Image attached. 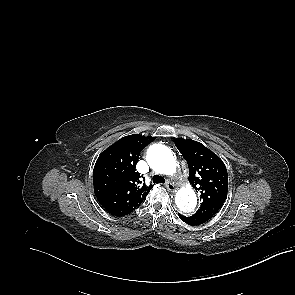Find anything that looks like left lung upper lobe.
<instances>
[{
    "label": "left lung upper lobe",
    "mask_w": 295,
    "mask_h": 295,
    "mask_svg": "<svg viewBox=\"0 0 295 295\" xmlns=\"http://www.w3.org/2000/svg\"><path fill=\"white\" fill-rule=\"evenodd\" d=\"M175 145L189 166V182L200 191L201 205L196 213L215 215L227 197L228 175L223 161L203 144L177 138Z\"/></svg>",
    "instance_id": "5c2ea615"
}]
</instances>
